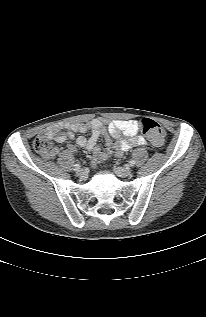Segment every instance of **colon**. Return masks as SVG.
Returning a JSON list of instances; mask_svg holds the SVG:
<instances>
[{
    "instance_id": "1",
    "label": "colon",
    "mask_w": 206,
    "mask_h": 317,
    "mask_svg": "<svg viewBox=\"0 0 206 317\" xmlns=\"http://www.w3.org/2000/svg\"><path fill=\"white\" fill-rule=\"evenodd\" d=\"M139 128L154 145L159 146L163 143L165 130L158 122L150 118H142L139 121ZM33 147L40 153H48L52 149L49 139L44 136H38L33 143Z\"/></svg>"
}]
</instances>
